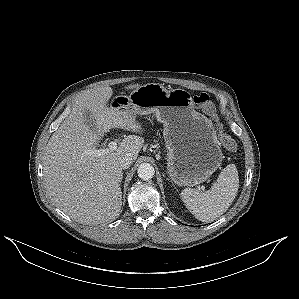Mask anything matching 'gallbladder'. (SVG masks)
Instances as JSON below:
<instances>
[{
  "label": "gallbladder",
  "mask_w": 299,
  "mask_h": 299,
  "mask_svg": "<svg viewBox=\"0 0 299 299\" xmlns=\"http://www.w3.org/2000/svg\"><path fill=\"white\" fill-rule=\"evenodd\" d=\"M83 118H84V122L86 124V126L92 130L95 131L97 130V123L95 118L93 117L92 113L90 111H85L83 114Z\"/></svg>",
  "instance_id": "1"
}]
</instances>
